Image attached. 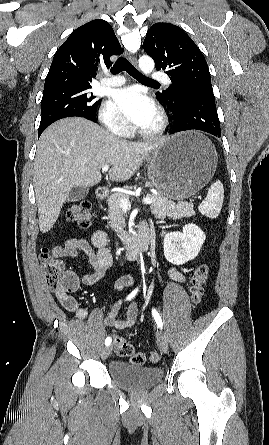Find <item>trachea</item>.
I'll return each mask as SVG.
<instances>
[{
	"instance_id": "1",
	"label": "trachea",
	"mask_w": 269,
	"mask_h": 445,
	"mask_svg": "<svg viewBox=\"0 0 269 445\" xmlns=\"http://www.w3.org/2000/svg\"><path fill=\"white\" fill-rule=\"evenodd\" d=\"M112 74H118L122 71H126L129 75L134 77L139 81L149 82V83H157L155 80H152L143 74H141L127 59L120 57L113 67L111 68Z\"/></svg>"
}]
</instances>
